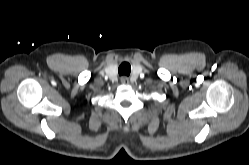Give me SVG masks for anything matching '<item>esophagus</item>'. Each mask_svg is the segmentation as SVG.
Returning a JSON list of instances; mask_svg holds the SVG:
<instances>
[{
	"label": "esophagus",
	"instance_id": "34e87169",
	"mask_svg": "<svg viewBox=\"0 0 249 165\" xmlns=\"http://www.w3.org/2000/svg\"><path fill=\"white\" fill-rule=\"evenodd\" d=\"M121 83L128 84L129 83V79L126 76H123V77H121Z\"/></svg>",
	"mask_w": 249,
	"mask_h": 165
}]
</instances>
